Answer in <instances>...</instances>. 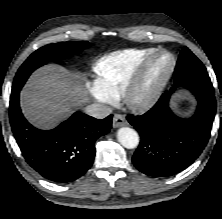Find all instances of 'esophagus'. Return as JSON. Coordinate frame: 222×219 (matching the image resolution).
<instances>
[{
  "label": "esophagus",
  "mask_w": 222,
  "mask_h": 219,
  "mask_svg": "<svg viewBox=\"0 0 222 219\" xmlns=\"http://www.w3.org/2000/svg\"><path fill=\"white\" fill-rule=\"evenodd\" d=\"M125 125V118L121 114H115L113 117V127L118 128Z\"/></svg>",
  "instance_id": "34e87169"
}]
</instances>
